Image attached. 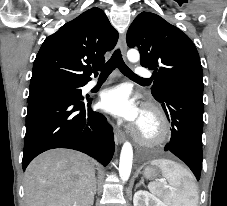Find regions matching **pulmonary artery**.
I'll return each instance as SVG.
<instances>
[{"label": "pulmonary artery", "mask_w": 227, "mask_h": 206, "mask_svg": "<svg viewBox=\"0 0 227 206\" xmlns=\"http://www.w3.org/2000/svg\"><path fill=\"white\" fill-rule=\"evenodd\" d=\"M135 74L138 76V77H141V78H149L151 76V72L148 71L147 69L145 68H142V67H138L136 68L135 70ZM99 83L97 80H92L90 81L87 85H86V89H92L94 88L95 86H97Z\"/></svg>", "instance_id": "obj_1"}]
</instances>
